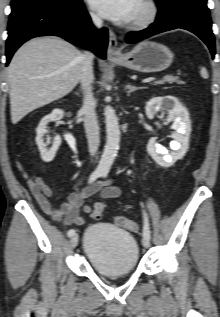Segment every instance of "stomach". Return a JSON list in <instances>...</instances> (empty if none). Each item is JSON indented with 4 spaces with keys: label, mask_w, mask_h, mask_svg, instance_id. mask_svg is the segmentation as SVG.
Listing matches in <instances>:
<instances>
[{
    "label": "stomach",
    "mask_w": 220,
    "mask_h": 317,
    "mask_svg": "<svg viewBox=\"0 0 220 317\" xmlns=\"http://www.w3.org/2000/svg\"><path fill=\"white\" fill-rule=\"evenodd\" d=\"M111 61L128 69L143 72H159L167 69L173 61V53L160 43L143 41L132 51L120 57H113Z\"/></svg>",
    "instance_id": "1"
}]
</instances>
